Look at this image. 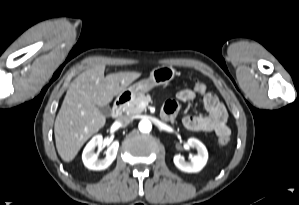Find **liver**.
Masks as SVG:
<instances>
[{
	"label": "liver",
	"instance_id": "liver-1",
	"mask_svg": "<svg viewBox=\"0 0 299 205\" xmlns=\"http://www.w3.org/2000/svg\"><path fill=\"white\" fill-rule=\"evenodd\" d=\"M105 65L99 64L82 72L70 85L54 124L58 154L72 161L83 144L106 122L98 107L108 105L122 93L139 72L111 73L104 77Z\"/></svg>",
	"mask_w": 299,
	"mask_h": 205
}]
</instances>
